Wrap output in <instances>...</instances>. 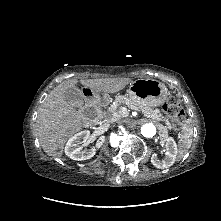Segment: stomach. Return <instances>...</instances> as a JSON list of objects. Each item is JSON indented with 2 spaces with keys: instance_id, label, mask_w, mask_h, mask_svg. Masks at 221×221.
<instances>
[{
  "instance_id": "stomach-1",
  "label": "stomach",
  "mask_w": 221,
  "mask_h": 221,
  "mask_svg": "<svg viewBox=\"0 0 221 221\" xmlns=\"http://www.w3.org/2000/svg\"><path fill=\"white\" fill-rule=\"evenodd\" d=\"M127 95L141 106L157 107L167 99L168 89L155 79H137L130 83Z\"/></svg>"
}]
</instances>
